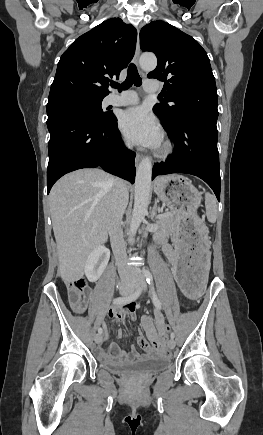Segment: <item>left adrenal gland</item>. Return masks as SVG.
Returning a JSON list of instances; mask_svg holds the SVG:
<instances>
[{
    "mask_svg": "<svg viewBox=\"0 0 263 435\" xmlns=\"http://www.w3.org/2000/svg\"><path fill=\"white\" fill-rule=\"evenodd\" d=\"M157 203H158V200L155 199L154 206H153L152 211H151V220L152 221L156 220L157 210H159V206L157 205Z\"/></svg>",
    "mask_w": 263,
    "mask_h": 435,
    "instance_id": "left-adrenal-gland-1",
    "label": "left adrenal gland"
}]
</instances>
